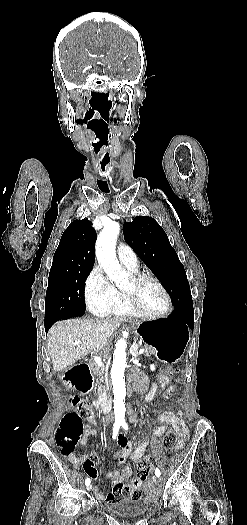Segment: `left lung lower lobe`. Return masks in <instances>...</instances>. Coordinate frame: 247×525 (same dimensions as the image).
<instances>
[{"instance_id": "left-lung-lower-lobe-1", "label": "left lung lower lobe", "mask_w": 247, "mask_h": 525, "mask_svg": "<svg viewBox=\"0 0 247 525\" xmlns=\"http://www.w3.org/2000/svg\"><path fill=\"white\" fill-rule=\"evenodd\" d=\"M167 320L179 323H186L192 329L194 327V310L193 306L182 307L175 309Z\"/></svg>"}]
</instances>
